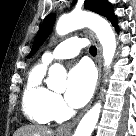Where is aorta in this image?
Here are the masks:
<instances>
[{
    "label": "aorta",
    "instance_id": "aorta-1",
    "mask_svg": "<svg viewBox=\"0 0 136 136\" xmlns=\"http://www.w3.org/2000/svg\"><path fill=\"white\" fill-rule=\"evenodd\" d=\"M89 27L97 35L104 57V65L110 66L116 51V38L111 25L104 18L86 11H73L59 18L56 24L58 35H66L76 29ZM48 87L56 92H64L66 89V70L55 63L49 69ZM101 103H97L90 109L78 124L74 136H91L100 116Z\"/></svg>",
    "mask_w": 136,
    "mask_h": 136
}]
</instances>
